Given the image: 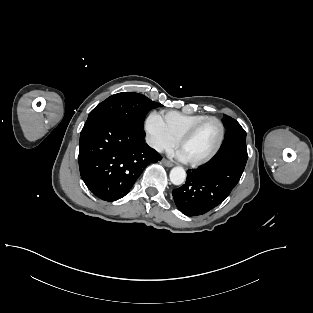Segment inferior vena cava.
Here are the masks:
<instances>
[{
  "label": "inferior vena cava",
  "mask_w": 313,
  "mask_h": 313,
  "mask_svg": "<svg viewBox=\"0 0 313 313\" xmlns=\"http://www.w3.org/2000/svg\"><path fill=\"white\" fill-rule=\"evenodd\" d=\"M147 143H148L151 147H153L154 149H156L158 152H162V151H163L162 146H161L158 142L152 140V139L149 138V137L147 138Z\"/></svg>",
  "instance_id": "inferior-vena-cava-1"
}]
</instances>
